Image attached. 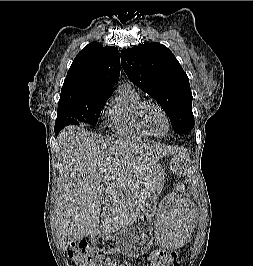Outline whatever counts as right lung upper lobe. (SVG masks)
Returning <instances> with one entry per match:
<instances>
[{"label":"right lung upper lobe","mask_w":253,"mask_h":266,"mask_svg":"<svg viewBox=\"0 0 253 266\" xmlns=\"http://www.w3.org/2000/svg\"><path fill=\"white\" fill-rule=\"evenodd\" d=\"M119 76L117 48L92 42L74 59L62 86L59 103L84 102L111 94Z\"/></svg>","instance_id":"right-lung-upper-lobe-1"}]
</instances>
